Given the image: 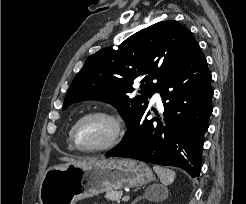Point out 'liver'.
<instances>
[{"label":"liver","instance_id":"obj_1","mask_svg":"<svg viewBox=\"0 0 246 204\" xmlns=\"http://www.w3.org/2000/svg\"><path fill=\"white\" fill-rule=\"evenodd\" d=\"M60 160L68 162V163L76 162L74 159H71L69 157H62V158H60Z\"/></svg>","mask_w":246,"mask_h":204}]
</instances>
